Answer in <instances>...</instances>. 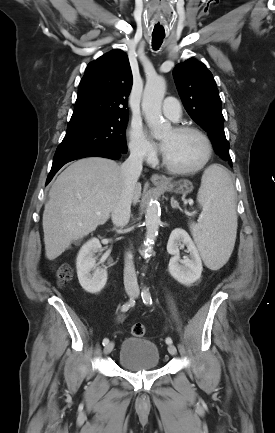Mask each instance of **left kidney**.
<instances>
[{
    "instance_id": "1",
    "label": "left kidney",
    "mask_w": 275,
    "mask_h": 433,
    "mask_svg": "<svg viewBox=\"0 0 275 433\" xmlns=\"http://www.w3.org/2000/svg\"><path fill=\"white\" fill-rule=\"evenodd\" d=\"M181 243L187 246L190 257L180 259L179 246ZM167 252L172 255L169 261V272L171 276L184 285L196 282L203 270L199 252L189 234L181 229H174L167 243Z\"/></svg>"
}]
</instances>
